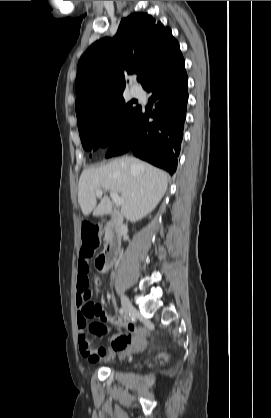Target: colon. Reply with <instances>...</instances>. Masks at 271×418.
<instances>
[{"label":"colon","mask_w":271,"mask_h":418,"mask_svg":"<svg viewBox=\"0 0 271 418\" xmlns=\"http://www.w3.org/2000/svg\"><path fill=\"white\" fill-rule=\"evenodd\" d=\"M98 227L90 222L84 223L81 230L82 245L80 250V257L82 259H89L93 256L98 245ZM97 268L100 269L99 262H96ZM83 342L89 343V339H85L84 332L81 335Z\"/></svg>","instance_id":"5ec220e1"}]
</instances>
